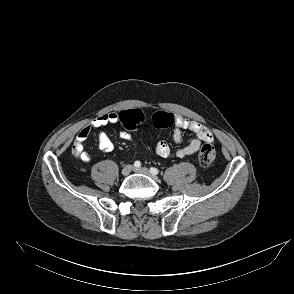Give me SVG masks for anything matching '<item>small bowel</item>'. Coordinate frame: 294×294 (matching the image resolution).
Returning a JSON list of instances; mask_svg holds the SVG:
<instances>
[{
    "label": "small bowel",
    "mask_w": 294,
    "mask_h": 294,
    "mask_svg": "<svg viewBox=\"0 0 294 294\" xmlns=\"http://www.w3.org/2000/svg\"><path fill=\"white\" fill-rule=\"evenodd\" d=\"M120 122L119 114L115 112L106 113L95 118L90 126L84 127L77 136L76 142V150L79 153V156L82 161L90 162L91 156L88 152L83 150V142L87 139L91 128H103L105 126L116 124ZM174 132H173V140L176 144H181L183 142V132L185 130H189L195 134V138H193L187 145L178 148L174 152L172 151L169 144L161 140L155 146V152L163 158H167L174 154L179 158H183L186 156H190L195 154L201 148L203 142L210 143L213 141V135L211 131L202 123L190 120L180 114L174 115ZM120 138L126 141H133L132 135L122 130L119 133ZM98 148L100 151L108 153L114 149V145L112 141L109 139L107 134L103 131H99L98 133Z\"/></svg>",
    "instance_id": "c3829d8e"
}]
</instances>
